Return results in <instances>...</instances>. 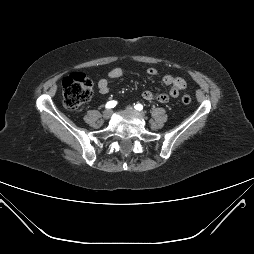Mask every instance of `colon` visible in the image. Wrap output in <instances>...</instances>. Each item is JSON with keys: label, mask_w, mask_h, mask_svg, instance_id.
I'll return each instance as SVG.
<instances>
[{"label": "colon", "mask_w": 254, "mask_h": 254, "mask_svg": "<svg viewBox=\"0 0 254 254\" xmlns=\"http://www.w3.org/2000/svg\"><path fill=\"white\" fill-rule=\"evenodd\" d=\"M93 93V82L83 73H72L64 79L62 94L64 105L67 109L75 110L87 102ZM181 101L189 104L192 98L185 94Z\"/></svg>", "instance_id": "obj_1"}]
</instances>
